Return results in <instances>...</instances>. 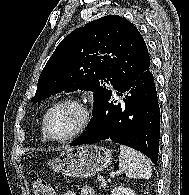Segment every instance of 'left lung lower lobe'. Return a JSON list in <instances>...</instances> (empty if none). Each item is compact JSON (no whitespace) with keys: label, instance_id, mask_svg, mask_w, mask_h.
<instances>
[{"label":"left lung lower lobe","instance_id":"left-lung-lower-lobe-1","mask_svg":"<svg viewBox=\"0 0 189 195\" xmlns=\"http://www.w3.org/2000/svg\"><path fill=\"white\" fill-rule=\"evenodd\" d=\"M123 102L114 101V94L93 115L86 132L71 145L91 144L100 140L134 148L156 165L160 139V109L150 66L116 88Z\"/></svg>","mask_w":189,"mask_h":195}]
</instances>
